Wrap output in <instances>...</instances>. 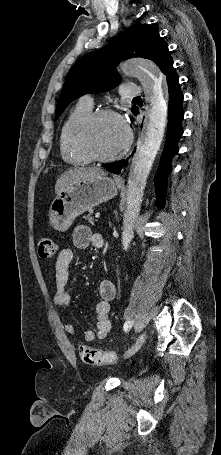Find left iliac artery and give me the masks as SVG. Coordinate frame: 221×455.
Segmentation results:
<instances>
[{
  "label": "left iliac artery",
  "instance_id": "left-iliac-artery-1",
  "mask_svg": "<svg viewBox=\"0 0 221 455\" xmlns=\"http://www.w3.org/2000/svg\"><path fill=\"white\" fill-rule=\"evenodd\" d=\"M132 325H133V321H127V322H125L124 327H123V328H124V331H125V332L129 331V329L132 327Z\"/></svg>",
  "mask_w": 221,
  "mask_h": 455
}]
</instances>
